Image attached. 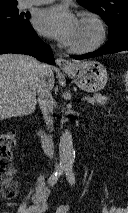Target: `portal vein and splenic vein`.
Instances as JSON below:
<instances>
[{"instance_id":"portal-vein-and-splenic-vein-1","label":"portal vein and splenic vein","mask_w":128,"mask_h":213,"mask_svg":"<svg viewBox=\"0 0 128 213\" xmlns=\"http://www.w3.org/2000/svg\"><path fill=\"white\" fill-rule=\"evenodd\" d=\"M84 100H88V98H84Z\"/></svg>"}]
</instances>
